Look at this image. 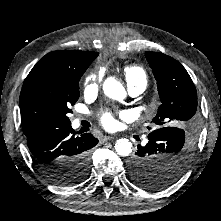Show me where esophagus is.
<instances>
[{"label":"esophagus","instance_id":"34e87169","mask_svg":"<svg viewBox=\"0 0 221 221\" xmlns=\"http://www.w3.org/2000/svg\"><path fill=\"white\" fill-rule=\"evenodd\" d=\"M114 137H112V136H103L101 139H100V141L102 142V143H105V142H107V141H110V140H112Z\"/></svg>","mask_w":221,"mask_h":221}]
</instances>
